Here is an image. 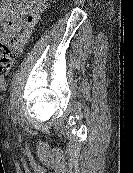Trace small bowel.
I'll list each match as a JSON object with an SVG mask.
<instances>
[{"mask_svg":"<svg viewBox=\"0 0 133 173\" xmlns=\"http://www.w3.org/2000/svg\"><path fill=\"white\" fill-rule=\"evenodd\" d=\"M0 0V42L11 43L20 53L46 8L47 0Z\"/></svg>","mask_w":133,"mask_h":173,"instance_id":"small-bowel-1","label":"small bowel"}]
</instances>
